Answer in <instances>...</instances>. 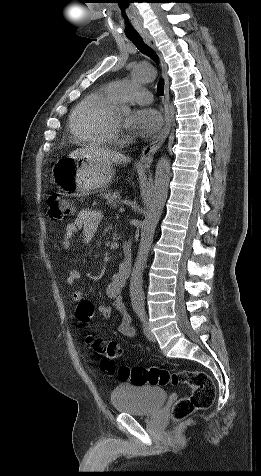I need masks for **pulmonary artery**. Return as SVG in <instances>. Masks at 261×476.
Instances as JSON below:
<instances>
[{
  "label": "pulmonary artery",
  "instance_id": "1",
  "mask_svg": "<svg viewBox=\"0 0 261 476\" xmlns=\"http://www.w3.org/2000/svg\"><path fill=\"white\" fill-rule=\"evenodd\" d=\"M105 90L117 101L148 104L152 102V94L137 83L118 81L110 83Z\"/></svg>",
  "mask_w": 261,
  "mask_h": 476
}]
</instances>
